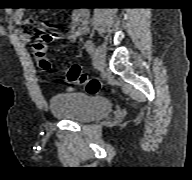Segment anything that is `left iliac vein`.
Returning a JSON list of instances; mask_svg holds the SVG:
<instances>
[{"label":"left iliac vein","mask_w":192,"mask_h":180,"mask_svg":"<svg viewBox=\"0 0 192 180\" xmlns=\"http://www.w3.org/2000/svg\"><path fill=\"white\" fill-rule=\"evenodd\" d=\"M95 60H96L97 67L100 70H103L106 63V52L102 46H97L95 50Z\"/></svg>","instance_id":"left-iliac-vein-1"}]
</instances>
